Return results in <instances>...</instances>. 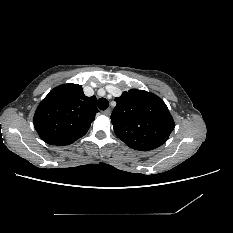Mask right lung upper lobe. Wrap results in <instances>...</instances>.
<instances>
[{"instance_id": "cb5924a9", "label": "right lung upper lobe", "mask_w": 233, "mask_h": 233, "mask_svg": "<svg viewBox=\"0 0 233 233\" xmlns=\"http://www.w3.org/2000/svg\"><path fill=\"white\" fill-rule=\"evenodd\" d=\"M98 112L96 97H87L78 84H64L41 101L33 123L43 141L69 145L84 136Z\"/></svg>"}]
</instances>
